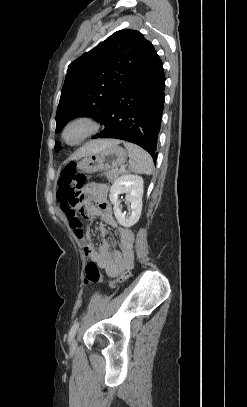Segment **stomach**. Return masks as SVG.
<instances>
[{
  "label": "stomach",
  "mask_w": 247,
  "mask_h": 407,
  "mask_svg": "<svg viewBox=\"0 0 247 407\" xmlns=\"http://www.w3.org/2000/svg\"><path fill=\"white\" fill-rule=\"evenodd\" d=\"M127 160V152L124 148L114 145L97 153L81 158L76 168L83 173L92 174L97 171H108L123 165Z\"/></svg>",
  "instance_id": "1"
}]
</instances>
